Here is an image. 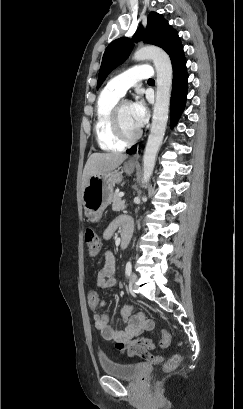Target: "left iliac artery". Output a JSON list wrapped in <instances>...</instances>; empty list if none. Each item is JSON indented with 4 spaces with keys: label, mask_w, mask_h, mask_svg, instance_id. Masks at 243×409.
I'll list each match as a JSON object with an SVG mask.
<instances>
[{
    "label": "left iliac artery",
    "mask_w": 243,
    "mask_h": 409,
    "mask_svg": "<svg viewBox=\"0 0 243 409\" xmlns=\"http://www.w3.org/2000/svg\"><path fill=\"white\" fill-rule=\"evenodd\" d=\"M131 272H132V264L130 261H128L126 264L125 273L127 276H130Z\"/></svg>",
    "instance_id": "1"
}]
</instances>
